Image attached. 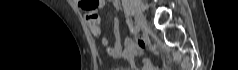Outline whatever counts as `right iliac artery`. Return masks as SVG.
I'll return each mask as SVG.
<instances>
[{"mask_svg": "<svg viewBox=\"0 0 238 70\" xmlns=\"http://www.w3.org/2000/svg\"><path fill=\"white\" fill-rule=\"evenodd\" d=\"M139 31V27L137 25L132 27V32L136 33Z\"/></svg>", "mask_w": 238, "mask_h": 70, "instance_id": "right-iliac-artery-1", "label": "right iliac artery"}]
</instances>
